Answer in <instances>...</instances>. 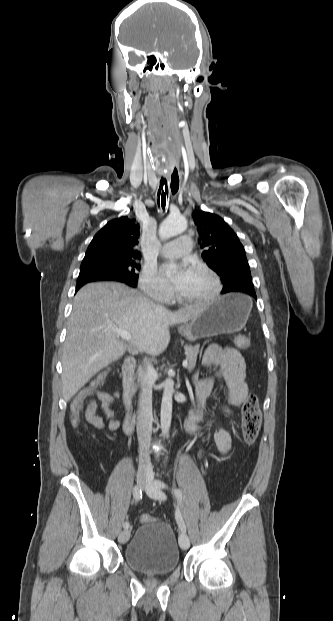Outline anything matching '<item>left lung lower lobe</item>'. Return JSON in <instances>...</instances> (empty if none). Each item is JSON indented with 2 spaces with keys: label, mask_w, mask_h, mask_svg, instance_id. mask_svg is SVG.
I'll list each match as a JSON object with an SVG mask.
<instances>
[{
  "label": "left lung lower lobe",
  "mask_w": 333,
  "mask_h": 621,
  "mask_svg": "<svg viewBox=\"0 0 333 621\" xmlns=\"http://www.w3.org/2000/svg\"><path fill=\"white\" fill-rule=\"evenodd\" d=\"M232 292L245 293V294H247V295H249V296H251V297H253L254 299L257 300L256 293H255L254 289L245 288V289L235 290V291H232Z\"/></svg>",
  "instance_id": "obj_1"
}]
</instances>
